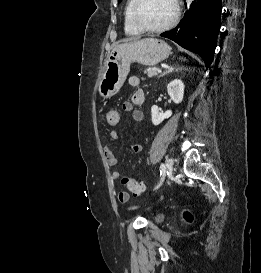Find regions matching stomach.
Here are the masks:
<instances>
[{
	"label": "stomach",
	"mask_w": 261,
	"mask_h": 273,
	"mask_svg": "<svg viewBox=\"0 0 261 273\" xmlns=\"http://www.w3.org/2000/svg\"><path fill=\"white\" fill-rule=\"evenodd\" d=\"M171 53L170 46L162 40L145 38L116 46L108 55L105 71L98 85L104 99L115 95L122 87L133 62L154 66Z\"/></svg>",
	"instance_id": "obj_1"
}]
</instances>
